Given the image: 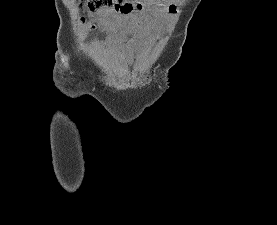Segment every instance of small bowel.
Listing matches in <instances>:
<instances>
[{
  "label": "small bowel",
  "instance_id": "obj_1",
  "mask_svg": "<svg viewBox=\"0 0 277 225\" xmlns=\"http://www.w3.org/2000/svg\"><path fill=\"white\" fill-rule=\"evenodd\" d=\"M175 9V4L166 2L155 6L151 13L140 10L136 14L125 16L106 11L100 18V24L105 32L107 45L121 57L132 58L139 52L142 43L151 42L171 20ZM123 37H128V41L124 42Z\"/></svg>",
  "mask_w": 277,
  "mask_h": 225
}]
</instances>
